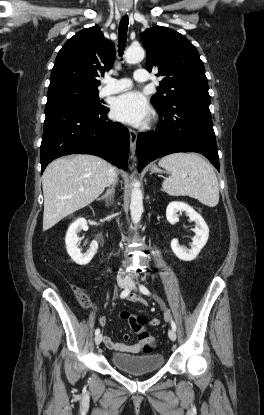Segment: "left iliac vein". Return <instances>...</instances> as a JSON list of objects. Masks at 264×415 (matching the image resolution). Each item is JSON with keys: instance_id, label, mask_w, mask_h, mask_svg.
Returning <instances> with one entry per match:
<instances>
[{"instance_id": "obj_1", "label": "left iliac vein", "mask_w": 264, "mask_h": 415, "mask_svg": "<svg viewBox=\"0 0 264 415\" xmlns=\"http://www.w3.org/2000/svg\"><path fill=\"white\" fill-rule=\"evenodd\" d=\"M131 288L132 289H136V286H135V284L134 283H131ZM168 336H169V338L172 340V341H175L176 340V332H175V330H173V329H169V331H168Z\"/></svg>"}]
</instances>
